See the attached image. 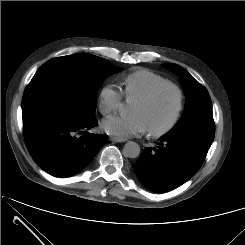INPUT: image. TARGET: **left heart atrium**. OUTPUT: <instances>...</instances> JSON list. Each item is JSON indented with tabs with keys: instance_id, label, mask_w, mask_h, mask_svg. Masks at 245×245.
<instances>
[{
	"instance_id": "obj_1",
	"label": "left heart atrium",
	"mask_w": 245,
	"mask_h": 245,
	"mask_svg": "<svg viewBox=\"0 0 245 245\" xmlns=\"http://www.w3.org/2000/svg\"><path fill=\"white\" fill-rule=\"evenodd\" d=\"M103 128L108 133L118 136H132L147 130L143 118L136 113L109 117L104 120Z\"/></svg>"
}]
</instances>
